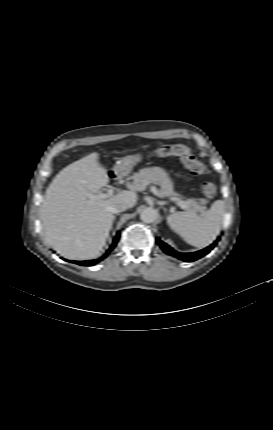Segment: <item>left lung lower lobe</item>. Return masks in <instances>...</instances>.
I'll use <instances>...</instances> for the list:
<instances>
[{"label":"left lung lower lobe","mask_w":273,"mask_h":430,"mask_svg":"<svg viewBox=\"0 0 273 430\" xmlns=\"http://www.w3.org/2000/svg\"><path fill=\"white\" fill-rule=\"evenodd\" d=\"M156 242L166 254L174 256L186 262H193L203 257L204 255L209 253L217 244V241H215L213 244H211L207 248H204L203 250L192 252V253H179L175 251L173 248H171L169 245L161 241L159 238L156 239Z\"/></svg>","instance_id":"0a47b994"}]
</instances>
